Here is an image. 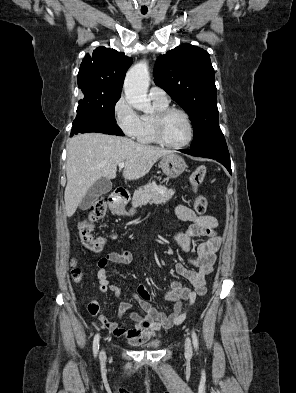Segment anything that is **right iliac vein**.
<instances>
[{"label": "right iliac vein", "mask_w": 296, "mask_h": 393, "mask_svg": "<svg viewBox=\"0 0 296 393\" xmlns=\"http://www.w3.org/2000/svg\"><path fill=\"white\" fill-rule=\"evenodd\" d=\"M100 356H101V357H104V356H105V352L102 351L101 354H100Z\"/></svg>", "instance_id": "1"}]
</instances>
